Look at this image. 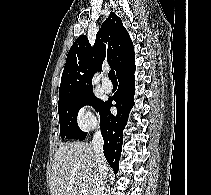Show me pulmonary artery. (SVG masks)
Instances as JSON below:
<instances>
[{
    "label": "pulmonary artery",
    "instance_id": "pulmonary-artery-1",
    "mask_svg": "<svg viewBox=\"0 0 211 195\" xmlns=\"http://www.w3.org/2000/svg\"><path fill=\"white\" fill-rule=\"evenodd\" d=\"M102 88L107 93L111 92L113 88L111 81L106 75L102 79Z\"/></svg>",
    "mask_w": 211,
    "mask_h": 195
}]
</instances>
